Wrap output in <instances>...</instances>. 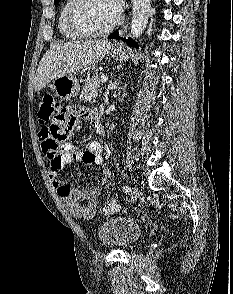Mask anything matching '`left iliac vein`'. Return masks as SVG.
<instances>
[{
    "instance_id": "4c4485c4",
    "label": "left iliac vein",
    "mask_w": 233,
    "mask_h": 294,
    "mask_svg": "<svg viewBox=\"0 0 233 294\" xmlns=\"http://www.w3.org/2000/svg\"><path fill=\"white\" fill-rule=\"evenodd\" d=\"M141 194H142V192H141V190H139V189H137V188H135L134 190H133V201L131 202V205L132 206H135L136 205V202H138L139 201V198H141Z\"/></svg>"
}]
</instances>
